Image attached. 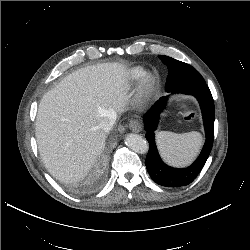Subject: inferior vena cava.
I'll use <instances>...</instances> for the list:
<instances>
[{"instance_id": "1", "label": "inferior vena cava", "mask_w": 250, "mask_h": 250, "mask_svg": "<svg viewBox=\"0 0 250 250\" xmlns=\"http://www.w3.org/2000/svg\"><path fill=\"white\" fill-rule=\"evenodd\" d=\"M116 119V113H111L107 118L101 121V123L99 124V128L102 129L104 132H109L115 124Z\"/></svg>"}]
</instances>
